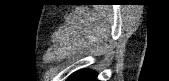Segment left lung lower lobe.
I'll list each match as a JSON object with an SVG mask.
<instances>
[{
	"instance_id": "left-lung-lower-lobe-1",
	"label": "left lung lower lobe",
	"mask_w": 169,
	"mask_h": 81,
	"mask_svg": "<svg viewBox=\"0 0 169 81\" xmlns=\"http://www.w3.org/2000/svg\"><path fill=\"white\" fill-rule=\"evenodd\" d=\"M97 74L90 70H81L70 76L68 81H97Z\"/></svg>"
}]
</instances>
